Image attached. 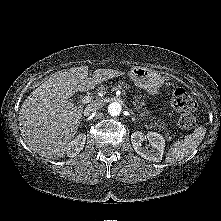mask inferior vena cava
I'll use <instances>...</instances> for the list:
<instances>
[{"instance_id": "602c4592", "label": "inferior vena cava", "mask_w": 221, "mask_h": 221, "mask_svg": "<svg viewBox=\"0 0 221 221\" xmlns=\"http://www.w3.org/2000/svg\"><path fill=\"white\" fill-rule=\"evenodd\" d=\"M102 106H103V104L101 101H94V102L87 105V107L85 108V113L89 114L91 112L97 111Z\"/></svg>"}]
</instances>
